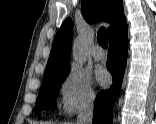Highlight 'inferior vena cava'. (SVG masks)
Instances as JSON below:
<instances>
[{"label": "inferior vena cava", "mask_w": 156, "mask_h": 124, "mask_svg": "<svg viewBox=\"0 0 156 124\" xmlns=\"http://www.w3.org/2000/svg\"><path fill=\"white\" fill-rule=\"evenodd\" d=\"M95 95L88 96L81 104L76 124H92Z\"/></svg>", "instance_id": "inferior-vena-cava-1"}]
</instances>
